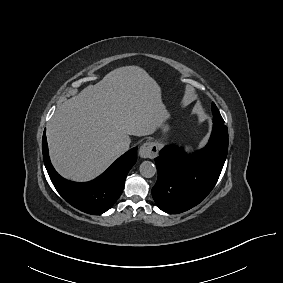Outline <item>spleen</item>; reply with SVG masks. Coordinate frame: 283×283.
<instances>
[{
    "mask_svg": "<svg viewBox=\"0 0 283 283\" xmlns=\"http://www.w3.org/2000/svg\"><path fill=\"white\" fill-rule=\"evenodd\" d=\"M187 150L188 151L192 150V147L191 146H187Z\"/></svg>",
    "mask_w": 283,
    "mask_h": 283,
    "instance_id": "spleen-1",
    "label": "spleen"
}]
</instances>
